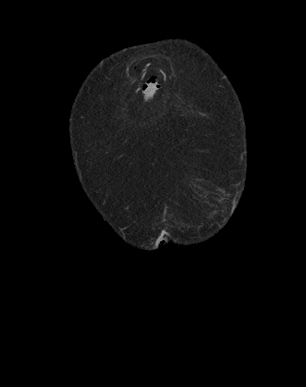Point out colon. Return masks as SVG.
Wrapping results in <instances>:
<instances>
[{
  "mask_svg": "<svg viewBox=\"0 0 306 387\" xmlns=\"http://www.w3.org/2000/svg\"><path fill=\"white\" fill-rule=\"evenodd\" d=\"M160 84L155 79H149L144 85H143V93L145 97L148 99L153 98L159 91Z\"/></svg>",
  "mask_w": 306,
  "mask_h": 387,
  "instance_id": "colon-1",
  "label": "colon"
}]
</instances>
